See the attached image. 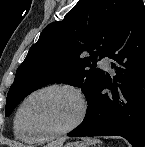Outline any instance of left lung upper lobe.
<instances>
[{
    "label": "left lung upper lobe",
    "instance_id": "obj_1",
    "mask_svg": "<svg viewBox=\"0 0 145 147\" xmlns=\"http://www.w3.org/2000/svg\"><path fill=\"white\" fill-rule=\"evenodd\" d=\"M130 2L79 0L62 21L49 24L17 69L5 116L31 92L52 83L80 87L89 104L105 74L96 62L108 55Z\"/></svg>",
    "mask_w": 145,
    "mask_h": 147
}]
</instances>
